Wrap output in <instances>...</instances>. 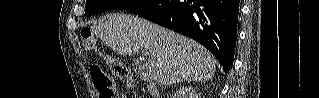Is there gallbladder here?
<instances>
[{"label":"gallbladder","mask_w":319,"mask_h":98,"mask_svg":"<svg viewBox=\"0 0 319 98\" xmlns=\"http://www.w3.org/2000/svg\"><path fill=\"white\" fill-rule=\"evenodd\" d=\"M133 65L135 66V68H136V69L138 68L137 63H135V62H134V64H133Z\"/></svg>","instance_id":"1"}]
</instances>
